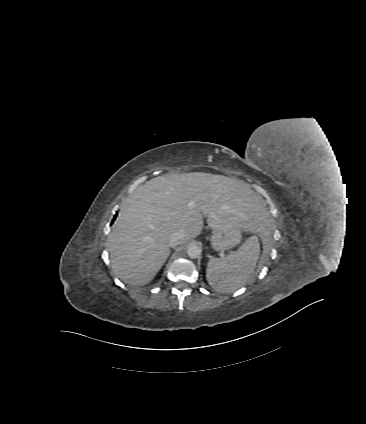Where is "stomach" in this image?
<instances>
[{
    "mask_svg": "<svg viewBox=\"0 0 366 424\" xmlns=\"http://www.w3.org/2000/svg\"><path fill=\"white\" fill-rule=\"evenodd\" d=\"M241 241V228L233 225L230 229H218L211 237V246L216 251H225L239 244Z\"/></svg>",
    "mask_w": 366,
    "mask_h": 424,
    "instance_id": "1",
    "label": "stomach"
}]
</instances>
